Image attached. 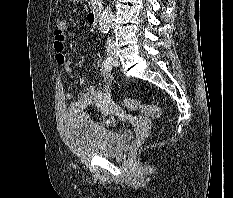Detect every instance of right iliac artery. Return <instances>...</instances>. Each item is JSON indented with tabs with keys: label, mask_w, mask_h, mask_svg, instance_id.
I'll return each instance as SVG.
<instances>
[{
	"label": "right iliac artery",
	"mask_w": 233,
	"mask_h": 198,
	"mask_svg": "<svg viewBox=\"0 0 233 198\" xmlns=\"http://www.w3.org/2000/svg\"><path fill=\"white\" fill-rule=\"evenodd\" d=\"M112 58L110 56H108L105 60H104V67L106 69V71L110 72L112 70Z\"/></svg>",
	"instance_id": "82829eb1"
}]
</instances>
